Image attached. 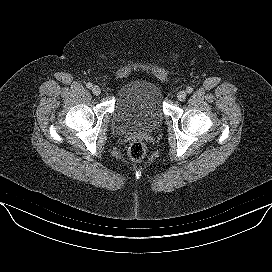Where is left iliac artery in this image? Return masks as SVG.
<instances>
[{
    "mask_svg": "<svg viewBox=\"0 0 272 272\" xmlns=\"http://www.w3.org/2000/svg\"><path fill=\"white\" fill-rule=\"evenodd\" d=\"M192 91H193V88H192V87H187V88H186V92H187V93L190 94V93H192Z\"/></svg>",
    "mask_w": 272,
    "mask_h": 272,
    "instance_id": "1",
    "label": "left iliac artery"
}]
</instances>
